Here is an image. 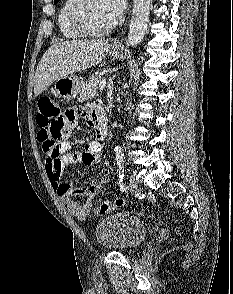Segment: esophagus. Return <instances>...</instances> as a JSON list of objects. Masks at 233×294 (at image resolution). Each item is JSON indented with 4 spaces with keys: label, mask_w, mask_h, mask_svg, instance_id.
<instances>
[{
    "label": "esophagus",
    "mask_w": 233,
    "mask_h": 294,
    "mask_svg": "<svg viewBox=\"0 0 233 294\" xmlns=\"http://www.w3.org/2000/svg\"><path fill=\"white\" fill-rule=\"evenodd\" d=\"M114 46L118 47V46H120V43L119 42H115L114 43Z\"/></svg>",
    "instance_id": "obj_1"
}]
</instances>
